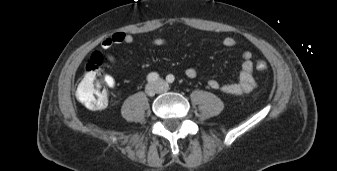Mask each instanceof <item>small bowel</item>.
Instances as JSON below:
<instances>
[{
    "label": "small bowel",
    "instance_id": "obj_1",
    "mask_svg": "<svg viewBox=\"0 0 337 171\" xmlns=\"http://www.w3.org/2000/svg\"><path fill=\"white\" fill-rule=\"evenodd\" d=\"M134 41L133 36L127 32H116L111 36L104 38L101 42V48L103 51L109 50L114 45L119 44H131ZM165 38H154L151 44L155 47H163L167 45ZM237 44L236 40L232 37H226L219 42L223 47H234ZM106 58L109 63L116 64V58L111 54H106ZM186 77L193 79L197 76V70L194 67H189L185 70ZM105 84L114 88L116 86V80L111 75L104 76ZM208 86L215 90H221L227 95L240 96L247 94L254 90L257 86L254 78L252 53L250 51H244L242 54V64L238 76V80L235 83L220 84L216 79H209Z\"/></svg>",
    "mask_w": 337,
    "mask_h": 171
}]
</instances>
